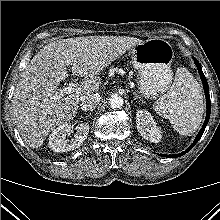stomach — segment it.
Segmentation results:
<instances>
[{
  "label": "stomach",
  "instance_id": "1",
  "mask_svg": "<svg viewBox=\"0 0 220 220\" xmlns=\"http://www.w3.org/2000/svg\"><path fill=\"white\" fill-rule=\"evenodd\" d=\"M129 55L138 71L139 92L150 99L161 97L171 87L173 78L171 44L163 39L146 40L132 47Z\"/></svg>",
  "mask_w": 220,
  "mask_h": 220
}]
</instances>
